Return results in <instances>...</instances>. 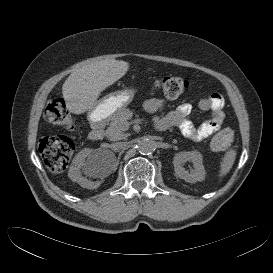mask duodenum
<instances>
[{
	"label": "duodenum",
	"mask_w": 273,
	"mask_h": 273,
	"mask_svg": "<svg viewBox=\"0 0 273 273\" xmlns=\"http://www.w3.org/2000/svg\"><path fill=\"white\" fill-rule=\"evenodd\" d=\"M156 126L160 130L166 127L165 123L162 120H157ZM103 136H104L103 121L102 120L94 121L92 123V129L89 134V139L93 142H98L103 138Z\"/></svg>",
	"instance_id": "1"
}]
</instances>
